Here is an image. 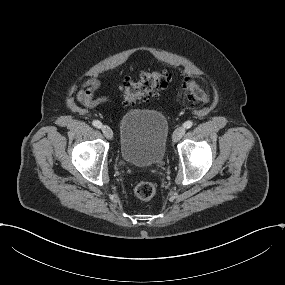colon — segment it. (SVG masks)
<instances>
[{
  "instance_id": "obj_1",
  "label": "colon",
  "mask_w": 285,
  "mask_h": 285,
  "mask_svg": "<svg viewBox=\"0 0 285 285\" xmlns=\"http://www.w3.org/2000/svg\"><path fill=\"white\" fill-rule=\"evenodd\" d=\"M172 75L165 71L141 72L135 79H127L121 86V98L125 105H135L155 95L159 90L168 86ZM183 89L188 101L206 103L209 95L194 80L184 77ZM134 196L140 201H149L156 194L152 182L140 181L134 186Z\"/></svg>"
}]
</instances>
